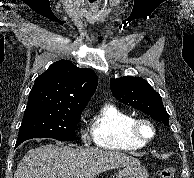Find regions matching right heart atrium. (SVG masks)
<instances>
[{"mask_svg":"<svg viewBox=\"0 0 194 178\" xmlns=\"http://www.w3.org/2000/svg\"><path fill=\"white\" fill-rule=\"evenodd\" d=\"M81 138H82V141L83 142H87V135H86V133L85 132H81Z\"/></svg>","mask_w":194,"mask_h":178,"instance_id":"obj_1","label":"right heart atrium"}]
</instances>
